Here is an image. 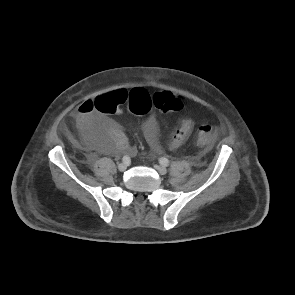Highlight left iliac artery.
<instances>
[{
    "instance_id": "44dca946",
    "label": "left iliac artery",
    "mask_w": 295,
    "mask_h": 295,
    "mask_svg": "<svg viewBox=\"0 0 295 295\" xmlns=\"http://www.w3.org/2000/svg\"><path fill=\"white\" fill-rule=\"evenodd\" d=\"M159 162L163 166H168L169 165V160L167 158H165V157L160 158Z\"/></svg>"
}]
</instances>
